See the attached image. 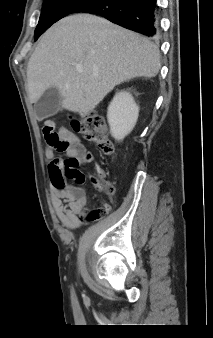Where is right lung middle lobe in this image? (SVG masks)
Returning a JSON list of instances; mask_svg holds the SVG:
<instances>
[{"label":"right lung middle lobe","mask_w":213,"mask_h":338,"mask_svg":"<svg viewBox=\"0 0 213 338\" xmlns=\"http://www.w3.org/2000/svg\"><path fill=\"white\" fill-rule=\"evenodd\" d=\"M92 0H44L39 23L35 30V40L52 24L74 13Z\"/></svg>","instance_id":"right-lung-middle-lobe-1"}]
</instances>
